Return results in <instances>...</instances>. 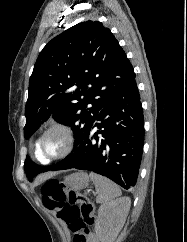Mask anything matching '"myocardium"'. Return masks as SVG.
Here are the masks:
<instances>
[{"label":"myocardium","instance_id":"1","mask_svg":"<svg viewBox=\"0 0 187 242\" xmlns=\"http://www.w3.org/2000/svg\"><path fill=\"white\" fill-rule=\"evenodd\" d=\"M54 131L60 132L64 136L65 146H64V149L59 154H56L53 156H47L42 151V142L49 133ZM74 145H75V136L72 128L67 124L57 122V123H53L48 128H46L44 132L40 135V137L37 140V151L39 155L44 159L45 162H50L53 160L64 158L67 155H69L73 150Z\"/></svg>","mask_w":187,"mask_h":242}]
</instances>
